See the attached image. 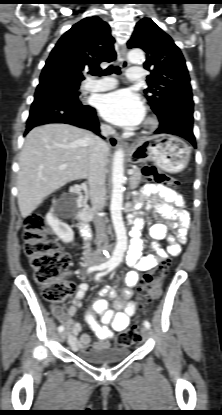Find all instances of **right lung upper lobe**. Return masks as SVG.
I'll list each match as a JSON object with an SVG mask.
<instances>
[{
	"label": "right lung upper lobe",
	"instance_id": "1",
	"mask_svg": "<svg viewBox=\"0 0 222 415\" xmlns=\"http://www.w3.org/2000/svg\"><path fill=\"white\" fill-rule=\"evenodd\" d=\"M114 38L99 17H87L62 35L50 53L40 77L51 74L80 84L83 70L99 69L101 62L115 59Z\"/></svg>",
	"mask_w": 222,
	"mask_h": 415
}]
</instances>
